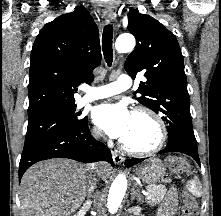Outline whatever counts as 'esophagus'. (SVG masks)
<instances>
[{"mask_svg": "<svg viewBox=\"0 0 221 216\" xmlns=\"http://www.w3.org/2000/svg\"><path fill=\"white\" fill-rule=\"evenodd\" d=\"M103 17L107 23H111L114 19L112 10H105L103 13ZM112 158L116 165H121L124 161V158L118 154L117 152L112 151Z\"/></svg>", "mask_w": 221, "mask_h": 216, "instance_id": "1", "label": "esophagus"}]
</instances>
